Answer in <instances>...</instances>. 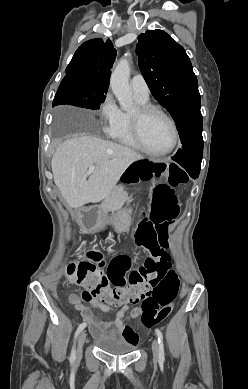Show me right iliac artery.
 <instances>
[{"instance_id": "1", "label": "right iliac artery", "mask_w": 248, "mask_h": 389, "mask_svg": "<svg viewBox=\"0 0 248 389\" xmlns=\"http://www.w3.org/2000/svg\"><path fill=\"white\" fill-rule=\"evenodd\" d=\"M86 327V323H82L79 325L77 328V331L75 333V338L79 335V333ZM75 346H73L72 351H71V356H70V361L74 362L75 361Z\"/></svg>"}]
</instances>
